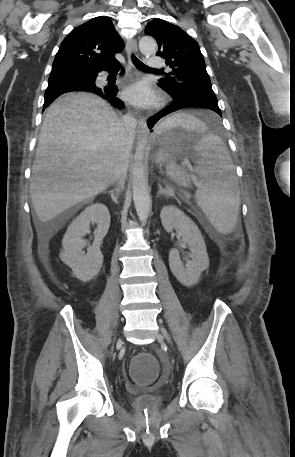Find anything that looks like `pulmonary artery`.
Listing matches in <instances>:
<instances>
[{"label":"pulmonary artery","instance_id":"e3ab8cb5","mask_svg":"<svg viewBox=\"0 0 295 457\" xmlns=\"http://www.w3.org/2000/svg\"><path fill=\"white\" fill-rule=\"evenodd\" d=\"M148 66L153 70H157L164 66V61L160 57L152 56L148 59Z\"/></svg>","mask_w":295,"mask_h":457}]
</instances>
